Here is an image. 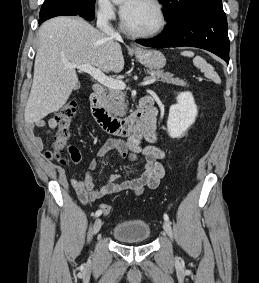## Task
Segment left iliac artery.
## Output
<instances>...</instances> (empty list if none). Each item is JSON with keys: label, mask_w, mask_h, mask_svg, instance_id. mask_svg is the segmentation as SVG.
<instances>
[{"label": "left iliac artery", "mask_w": 259, "mask_h": 283, "mask_svg": "<svg viewBox=\"0 0 259 283\" xmlns=\"http://www.w3.org/2000/svg\"><path fill=\"white\" fill-rule=\"evenodd\" d=\"M164 219H165V221H167V222L169 221V217H168V215H167L166 213L164 214Z\"/></svg>", "instance_id": "1"}]
</instances>
